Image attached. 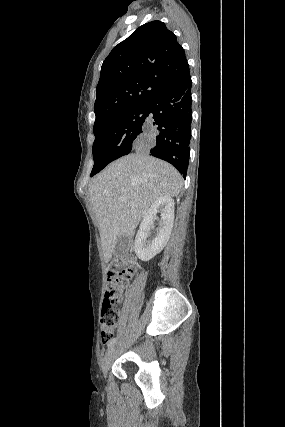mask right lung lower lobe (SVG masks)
<instances>
[{"mask_svg": "<svg viewBox=\"0 0 285 427\" xmlns=\"http://www.w3.org/2000/svg\"><path fill=\"white\" fill-rule=\"evenodd\" d=\"M188 73L148 102L143 133L149 134V154L172 164L186 177L190 154L192 97ZM139 146V145H138Z\"/></svg>", "mask_w": 285, "mask_h": 427, "instance_id": "1", "label": "right lung lower lobe"}]
</instances>
